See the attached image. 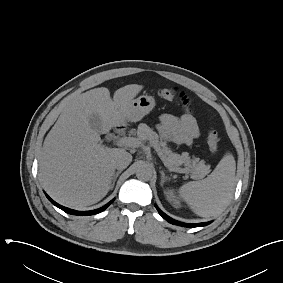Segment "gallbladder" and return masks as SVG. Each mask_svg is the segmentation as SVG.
<instances>
[{
    "mask_svg": "<svg viewBox=\"0 0 283 283\" xmlns=\"http://www.w3.org/2000/svg\"><path fill=\"white\" fill-rule=\"evenodd\" d=\"M89 123L92 129H94L97 132L101 131V120L99 118L98 115H93L90 119H89Z\"/></svg>",
    "mask_w": 283,
    "mask_h": 283,
    "instance_id": "obj_1",
    "label": "gallbladder"
}]
</instances>
